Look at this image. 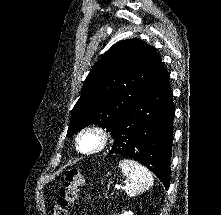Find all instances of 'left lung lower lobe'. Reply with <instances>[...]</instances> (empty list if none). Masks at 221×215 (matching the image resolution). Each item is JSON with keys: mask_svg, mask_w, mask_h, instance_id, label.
Instances as JSON below:
<instances>
[{"mask_svg": "<svg viewBox=\"0 0 221 215\" xmlns=\"http://www.w3.org/2000/svg\"><path fill=\"white\" fill-rule=\"evenodd\" d=\"M164 66L114 129L110 154L131 157L170 185L174 106Z\"/></svg>", "mask_w": 221, "mask_h": 215, "instance_id": "left-lung-lower-lobe-1", "label": "left lung lower lobe"}]
</instances>
